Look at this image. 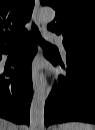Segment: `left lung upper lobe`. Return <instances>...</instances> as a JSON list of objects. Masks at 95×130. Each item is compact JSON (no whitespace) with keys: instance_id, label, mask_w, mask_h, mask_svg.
<instances>
[{"instance_id":"1","label":"left lung upper lobe","mask_w":95,"mask_h":130,"mask_svg":"<svg viewBox=\"0 0 95 130\" xmlns=\"http://www.w3.org/2000/svg\"><path fill=\"white\" fill-rule=\"evenodd\" d=\"M56 10L47 29L63 35V45L73 55L95 57V0H40Z\"/></svg>"}]
</instances>
